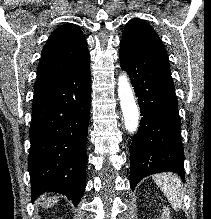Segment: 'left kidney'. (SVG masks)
I'll return each instance as SVG.
<instances>
[{
	"instance_id": "obj_1",
	"label": "left kidney",
	"mask_w": 211,
	"mask_h": 219,
	"mask_svg": "<svg viewBox=\"0 0 211 219\" xmlns=\"http://www.w3.org/2000/svg\"><path fill=\"white\" fill-rule=\"evenodd\" d=\"M161 219H169V210L168 208L163 209V213L161 215Z\"/></svg>"
}]
</instances>
